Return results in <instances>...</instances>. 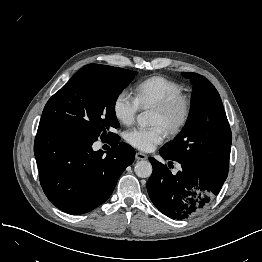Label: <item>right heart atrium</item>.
<instances>
[{
  "instance_id": "d8ad5b80",
  "label": "right heart atrium",
  "mask_w": 262,
  "mask_h": 262,
  "mask_svg": "<svg viewBox=\"0 0 262 262\" xmlns=\"http://www.w3.org/2000/svg\"><path fill=\"white\" fill-rule=\"evenodd\" d=\"M139 110L140 105L134 96L127 91L120 92L114 100L113 112L116 119L122 124H131Z\"/></svg>"
}]
</instances>
